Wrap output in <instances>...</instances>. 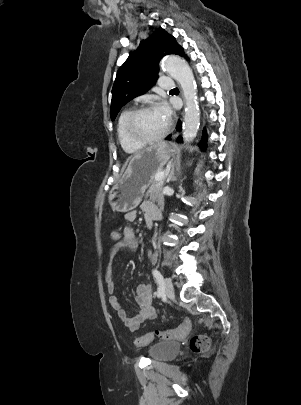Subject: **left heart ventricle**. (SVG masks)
Returning a JSON list of instances; mask_svg holds the SVG:
<instances>
[{"instance_id": "1", "label": "left heart ventricle", "mask_w": 301, "mask_h": 405, "mask_svg": "<svg viewBox=\"0 0 301 405\" xmlns=\"http://www.w3.org/2000/svg\"><path fill=\"white\" fill-rule=\"evenodd\" d=\"M166 125L167 120L155 109H151L137 117L134 130L141 137L151 138L160 134Z\"/></svg>"}]
</instances>
